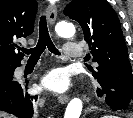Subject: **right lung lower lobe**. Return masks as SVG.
<instances>
[{"mask_svg": "<svg viewBox=\"0 0 133 118\" xmlns=\"http://www.w3.org/2000/svg\"><path fill=\"white\" fill-rule=\"evenodd\" d=\"M17 66H20V64ZM36 101L37 96L29 95L24 84L12 79L0 82L1 111L8 112L19 118H32Z\"/></svg>", "mask_w": 133, "mask_h": 118, "instance_id": "right-lung-lower-lobe-1", "label": "right lung lower lobe"}]
</instances>
